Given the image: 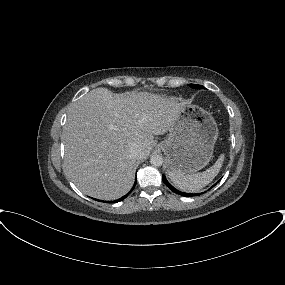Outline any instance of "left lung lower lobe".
Returning a JSON list of instances; mask_svg holds the SVG:
<instances>
[{"mask_svg": "<svg viewBox=\"0 0 285 285\" xmlns=\"http://www.w3.org/2000/svg\"><path fill=\"white\" fill-rule=\"evenodd\" d=\"M162 180L163 182L175 193L181 195V196H184V197H190V196H196V195H200V193L198 194H190V193H185V192H181L179 190H177L176 188H174L172 185H170L166 179V177L163 175L162 176Z\"/></svg>", "mask_w": 285, "mask_h": 285, "instance_id": "1", "label": "left lung lower lobe"}]
</instances>
